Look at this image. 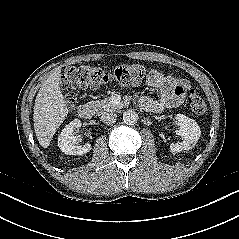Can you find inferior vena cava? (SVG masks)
<instances>
[{"label":"inferior vena cava","instance_id":"602c4592","mask_svg":"<svg viewBox=\"0 0 239 239\" xmlns=\"http://www.w3.org/2000/svg\"><path fill=\"white\" fill-rule=\"evenodd\" d=\"M101 121L108 124V125H111V124H114L117 120V115L114 114V113H102L101 117H100Z\"/></svg>","mask_w":239,"mask_h":239}]
</instances>
